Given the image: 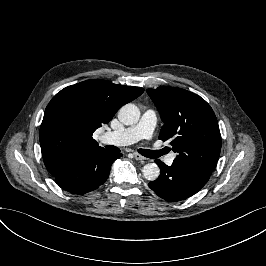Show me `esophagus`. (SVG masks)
Returning a JSON list of instances; mask_svg holds the SVG:
<instances>
[{
    "label": "esophagus",
    "instance_id": "obj_1",
    "mask_svg": "<svg viewBox=\"0 0 266 266\" xmlns=\"http://www.w3.org/2000/svg\"><path fill=\"white\" fill-rule=\"evenodd\" d=\"M133 155H134V158L136 159V160H140V161H142V160H145L146 158L144 157V156H142V155H140L139 153H133Z\"/></svg>",
    "mask_w": 266,
    "mask_h": 266
}]
</instances>
